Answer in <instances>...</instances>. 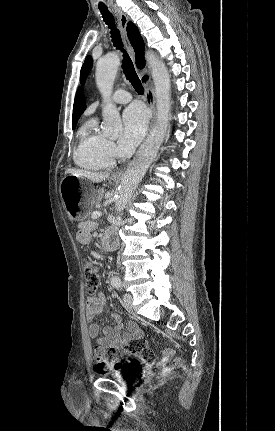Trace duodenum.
Here are the masks:
<instances>
[{
    "mask_svg": "<svg viewBox=\"0 0 275 431\" xmlns=\"http://www.w3.org/2000/svg\"><path fill=\"white\" fill-rule=\"evenodd\" d=\"M102 249L106 252L114 251L117 249V242L116 240L111 236V234H105L102 238Z\"/></svg>",
    "mask_w": 275,
    "mask_h": 431,
    "instance_id": "1",
    "label": "duodenum"
}]
</instances>
